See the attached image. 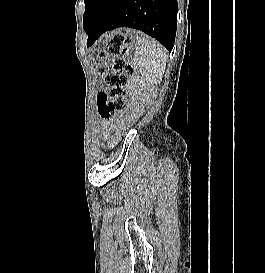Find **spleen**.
Instances as JSON below:
<instances>
[{"label": "spleen", "mask_w": 265, "mask_h": 273, "mask_svg": "<svg viewBox=\"0 0 265 273\" xmlns=\"http://www.w3.org/2000/svg\"><path fill=\"white\" fill-rule=\"evenodd\" d=\"M166 62V50L162 45L147 36L137 37L134 64L140 67L141 75L148 83L162 81Z\"/></svg>", "instance_id": "1"}]
</instances>
